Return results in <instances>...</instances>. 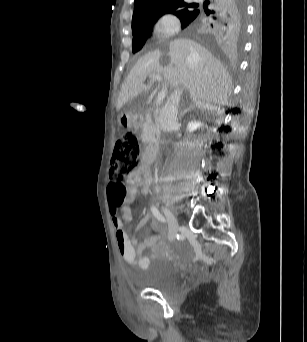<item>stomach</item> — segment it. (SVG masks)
<instances>
[{"instance_id": "1", "label": "stomach", "mask_w": 307, "mask_h": 342, "mask_svg": "<svg viewBox=\"0 0 307 342\" xmlns=\"http://www.w3.org/2000/svg\"><path fill=\"white\" fill-rule=\"evenodd\" d=\"M119 122L122 126H128L130 124V119L127 115L122 114L119 118Z\"/></svg>"}]
</instances>
